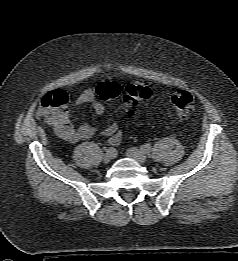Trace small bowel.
I'll return each instance as SVG.
<instances>
[{"instance_id":"obj_1","label":"small bowel","mask_w":238,"mask_h":261,"mask_svg":"<svg viewBox=\"0 0 238 261\" xmlns=\"http://www.w3.org/2000/svg\"><path fill=\"white\" fill-rule=\"evenodd\" d=\"M85 103H91L92 107L97 115H103L105 107L101 101L96 99L95 91L93 89L83 90L75 99V105H81ZM56 133L64 140L75 143L81 140L91 138L96 127L89 123L82 124L78 127L72 125L69 117H66L60 123L53 125ZM100 136L111 145H118L123 138V132L119 129L116 122H112L104 131L101 132Z\"/></svg>"}]
</instances>
